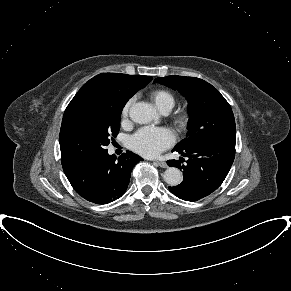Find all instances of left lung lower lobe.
I'll return each mask as SVG.
<instances>
[{"mask_svg":"<svg viewBox=\"0 0 291 291\" xmlns=\"http://www.w3.org/2000/svg\"><path fill=\"white\" fill-rule=\"evenodd\" d=\"M187 157L169 160V166L183 169V182L169 187L171 193L182 200L197 201L214 192L226 178L235 157V139H213L195 146L174 148Z\"/></svg>","mask_w":291,"mask_h":291,"instance_id":"0a47b994","label":"left lung lower lobe"}]
</instances>
